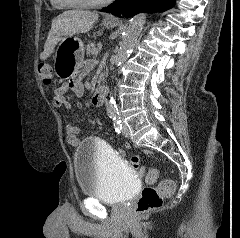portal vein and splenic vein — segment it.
<instances>
[{
  "label": "portal vein and splenic vein",
  "mask_w": 240,
  "mask_h": 238,
  "mask_svg": "<svg viewBox=\"0 0 240 238\" xmlns=\"http://www.w3.org/2000/svg\"><path fill=\"white\" fill-rule=\"evenodd\" d=\"M94 55H95V56H97V55H98V50H96V51L94 52Z\"/></svg>",
  "instance_id": "1"
}]
</instances>
